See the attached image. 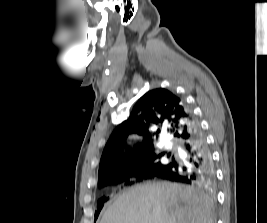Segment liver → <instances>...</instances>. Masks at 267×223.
<instances>
[{
  "label": "liver",
  "instance_id": "6515ba94",
  "mask_svg": "<svg viewBox=\"0 0 267 223\" xmlns=\"http://www.w3.org/2000/svg\"><path fill=\"white\" fill-rule=\"evenodd\" d=\"M213 200L190 186L157 182L131 188L100 223H213Z\"/></svg>",
  "mask_w": 267,
  "mask_h": 223
}]
</instances>
